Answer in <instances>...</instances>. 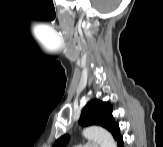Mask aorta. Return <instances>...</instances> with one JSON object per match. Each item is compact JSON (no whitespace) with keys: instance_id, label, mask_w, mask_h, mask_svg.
<instances>
[{"instance_id":"762f6f07","label":"aorta","mask_w":163,"mask_h":147,"mask_svg":"<svg viewBox=\"0 0 163 147\" xmlns=\"http://www.w3.org/2000/svg\"><path fill=\"white\" fill-rule=\"evenodd\" d=\"M84 138L94 140L100 144L101 147H116L117 144L112 135L105 129L99 126H89L82 132Z\"/></svg>"}]
</instances>
